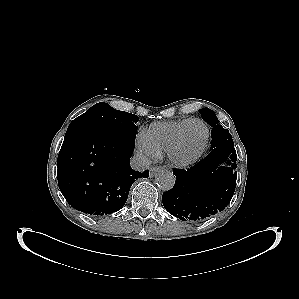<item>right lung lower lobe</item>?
<instances>
[{
    "instance_id": "obj_1",
    "label": "right lung lower lobe",
    "mask_w": 299,
    "mask_h": 299,
    "mask_svg": "<svg viewBox=\"0 0 299 299\" xmlns=\"http://www.w3.org/2000/svg\"><path fill=\"white\" fill-rule=\"evenodd\" d=\"M136 131L98 130L66 133L58 155V184L78 211L102 216L119 211L131 185L147 178L130 166Z\"/></svg>"
}]
</instances>
